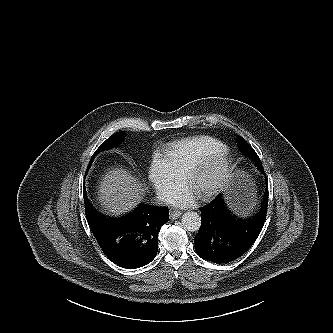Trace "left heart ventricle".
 <instances>
[{"instance_id": "left-heart-ventricle-1", "label": "left heart ventricle", "mask_w": 333, "mask_h": 333, "mask_svg": "<svg viewBox=\"0 0 333 333\" xmlns=\"http://www.w3.org/2000/svg\"><path fill=\"white\" fill-rule=\"evenodd\" d=\"M218 175L216 168H211L201 173L190 185V190L195 194L207 190L215 182Z\"/></svg>"}]
</instances>
